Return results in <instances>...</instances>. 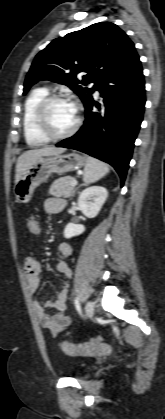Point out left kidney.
<instances>
[{"label": "left kidney", "mask_w": 165, "mask_h": 419, "mask_svg": "<svg viewBox=\"0 0 165 419\" xmlns=\"http://www.w3.org/2000/svg\"><path fill=\"white\" fill-rule=\"evenodd\" d=\"M108 197L106 188L102 186H91L84 189L78 197V206L81 212L88 218L98 215ZM85 231L82 224L68 223L64 229V237L71 238L78 236Z\"/></svg>", "instance_id": "1"}]
</instances>
